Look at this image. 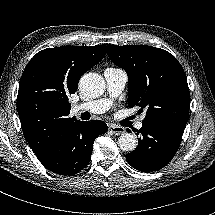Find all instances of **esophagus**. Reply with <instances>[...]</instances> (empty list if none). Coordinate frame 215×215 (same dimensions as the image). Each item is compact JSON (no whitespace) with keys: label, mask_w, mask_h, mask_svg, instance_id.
Segmentation results:
<instances>
[{"label":"esophagus","mask_w":215,"mask_h":215,"mask_svg":"<svg viewBox=\"0 0 215 215\" xmlns=\"http://www.w3.org/2000/svg\"><path fill=\"white\" fill-rule=\"evenodd\" d=\"M109 130L115 135H122L126 132L125 128L122 126H116L113 124L109 125Z\"/></svg>","instance_id":"1"}]
</instances>
